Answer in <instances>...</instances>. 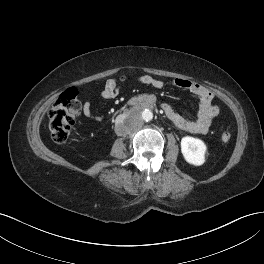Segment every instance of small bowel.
Instances as JSON below:
<instances>
[{
    "label": "small bowel",
    "instance_id": "1",
    "mask_svg": "<svg viewBox=\"0 0 264 264\" xmlns=\"http://www.w3.org/2000/svg\"><path fill=\"white\" fill-rule=\"evenodd\" d=\"M138 80L157 89L164 86L163 81L149 75L140 76ZM172 84L193 93L199 99V108L194 119H187L176 112L170 105L164 104L162 110L166 117L175 127L183 131L192 134H206L209 131L212 119L218 114V108L212 104V93L201 84L187 79L176 78L172 80ZM118 92L119 88L113 86L111 82H107L101 90V96L105 100H111L116 97ZM82 112L86 117L98 121L102 119V115L93 111L89 101L83 103Z\"/></svg>",
    "mask_w": 264,
    "mask_h": 264
}]
</instances>
